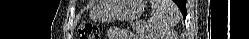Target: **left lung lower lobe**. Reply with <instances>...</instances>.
I'll return each mask as SVG.
<instances>
[{"mask_svg":"<svg viewBox=\"0 0 249 39\" xmlns=\"http://www.w3.org/2000/svg\"><path fill=\"white\" fill-rule=\"evenodd\" d=\"M175 3L178 5L183 16H186V1L185 0H175Z\"/></svg>","mask_w":249,"mask_h":39,"instance_id":"0a47b994","label":"left lung lower lobe"}]
</instances>
